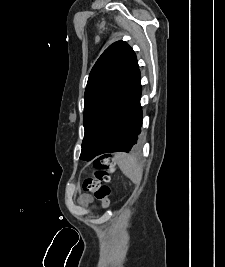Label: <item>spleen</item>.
I'll use <instances>...</instances> for the list:
<instances>
[{"label": "spleen", "mask_w": 225, "mask_h": 267, "mask_svg": "<svg viewBox=\"0 0 225 267\" xmlns=\"http://www.w3.org/2000/svg\"><path fill=\"white\" fill-rule=\"evenodd\" d=\"M115 160L127 178L134 183L141 181L143 170L134 156L126 153H118L115 155Z\"/></svg>", "instance_id": "1"}]
</instances>
